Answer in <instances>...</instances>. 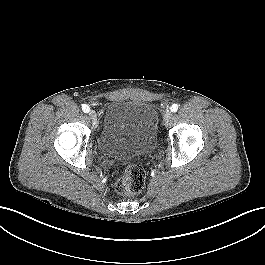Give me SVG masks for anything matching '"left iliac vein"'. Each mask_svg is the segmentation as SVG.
<instances>
[{
  "label": "left iliac vein",
  "mask_w": 265,
  "mask_h": 265,
  "mask_svg": "<svg viewBox=\"0 0 265 265\" xmlns=\"http://www.w3.org/2000/svg\"><path fill=\"white\" fill-rule=\"evenodd\" d=\"M172 117V113L170 111H166L163 115L164 124L167 125Z\"/></svg>",
  "instance_id": "1"
}]
</instances>
